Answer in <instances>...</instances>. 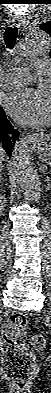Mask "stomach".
Segmentation results:
<instances>
[{"mask_svg":"<svg viewBox=\"0 0 51 393\" xmlns=\"http://www.w3.org/2000/svg\"><path fill=\"white\" fill-rule=\"evenodd\" d=\"M39 158L43 163L51 164V146L50 144L41 149Z\"/></svg>","mask_w":51,"mask_h":393,"instance_id":"stomach-1","label":"stomach"}]
</instances>
